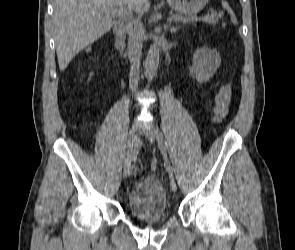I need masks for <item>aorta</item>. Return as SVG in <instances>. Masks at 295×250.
Returning <instances> with one entry per match:
<instances>
[{
  "instance_id": "obj_1",
  "label": "aorta",
  "mask_w": 295,
  "mask_h": 250,
  "mask_svg": "<svg viewBox=\"0 0 295 250\" xmlns=\"http://www.w3.org/2000/svg\"><path fill=\"white\" fill-rule=\"evenodd\" d=\"M160 50L157 43H153L147 53L145 61V76L148 81H151L158 69L159 65Z\"/></svg>"
}]
</instances>
